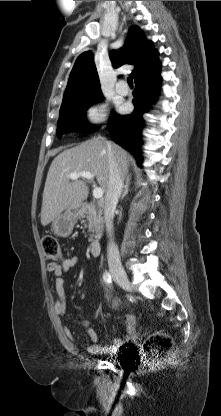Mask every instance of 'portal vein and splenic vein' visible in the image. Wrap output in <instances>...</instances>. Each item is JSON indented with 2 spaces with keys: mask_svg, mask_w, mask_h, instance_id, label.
Masks as SVG:
<instances>
[{
  "mask_svg": "<svg viewBox=\"0 0 221 416\" xmlns=\"http://www.w3.org/2000/svg\"><path fill=\"white\" fill-rule=\"evenodd\" d=\"M79 177L85 178L87 180H93L94 179V174H92L91 172L88 171H81V172H73L69 174V178L71 180H76ZM93 197L95 199H100L103 197V190L100 187H95L93 190Z\"/></svg>",
  "mask_w": 221,
  "mask_h": 416,
  "instance_id": "18ae733b",
  "label": "portal vein and splenic vein"
}]
</instances>
